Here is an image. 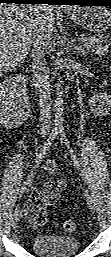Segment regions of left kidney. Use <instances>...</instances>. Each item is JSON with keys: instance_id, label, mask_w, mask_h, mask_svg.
Segmentation results:
<instances>
[{"instance_id": "obj_1", "label": "left kidney", "mask_w": 111, "mask_h": 257, "mask_svg": "<svg viewBox=\"0 0 111 257\" xmlns=\"http://www.w3.org/2000/svg\"><path fill=\"white\" fill-rule=\"evenodd\" d=\"M103 84L107 86V81H104ZM111 96L106 93L96 95L91 98L90 103L94 110H99L100 112L104 109V107H111Z\"/></svg>"}]
</instances>
